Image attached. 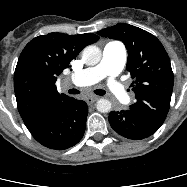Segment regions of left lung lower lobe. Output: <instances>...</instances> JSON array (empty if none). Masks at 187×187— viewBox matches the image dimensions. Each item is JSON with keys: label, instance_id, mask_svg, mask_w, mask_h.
I'll return each mask as SVG.
<instances>
[{"label": "left lung lower lobe", "instance_id": "1", "mask_svg": "<svg viewBox=\"0 0 187 187\" xmlns=\"http://www.w3.org/2000/svg\"><path fill=\"white\" fill-rule=\"evenodd\" d=\"M109 123L119 135L132 140L147 138L161 126L130 110L110 112Z\"/></svg>", "mask_w": 187, "mask_h": 187}]
</instances>
